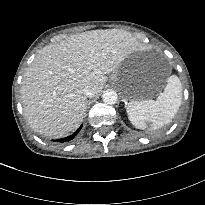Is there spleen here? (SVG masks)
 <instances>
[{
    "label": "spleen",
    "instance_id": "1",
    "mask_svg": "<svg viewBox=\"0 0 205 205\" xmlns=\"http://www.w3.org/2000/svg\"><path fill=\"white\" fill-rule=\"evenodd\" d=\"M181 102L182 84L176 75H172L156 100L131 101L126 110L130 122L136 128H146V122L151 121L153 129H157L174 118Z\"/></svg>",
    "mask_w": 205,
    "mask_h": 205
}]
</instances>
